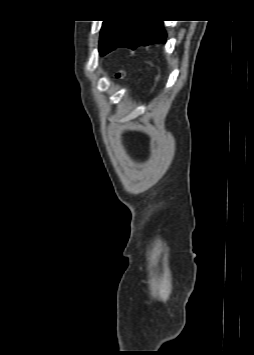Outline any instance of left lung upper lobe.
Here are the masks:
<instances>
[{
  "instance_id": "5c2ea615",
  "label": "left lung upper lobe",
  "mask_w": 254,
  "mask_h": 355,
  "mask_svg": "<svg viewBox=\"0 0 254 355\" xmlns=\"http://www.w3.org/2000/svg\"><path fill=\"white\" fill-rule=\"evenodd\" d=\"M130 20H117V21H103L99 51L102 55H105L112 51L113 46L122 36L125 26Z\"/></svg>"
}]
</instances>
